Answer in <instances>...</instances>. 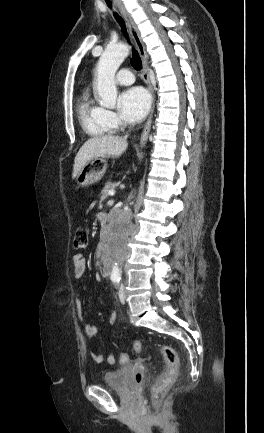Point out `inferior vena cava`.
<instances>
[{
	"instance_id": "obj_1",
	"label": "inferior vena cava",
	"mask_w": 264,
	"mask_h": 433,
	"mask_svg": "<svg viewBox=\"0 0 264 433\" xmlns=\"http://www.w3.org/2000/svg\"><path fill=\"white\" fill-rule=\"evenodd\" d=\"M115 252H126V251H115Z\"/></svg>"
}]
</instances>
